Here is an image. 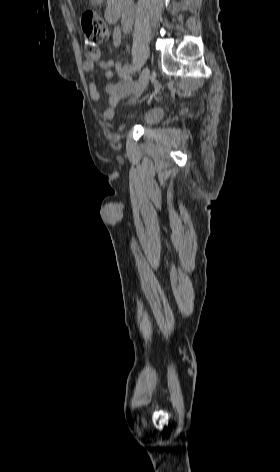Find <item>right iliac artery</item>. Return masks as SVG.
Wrapping results in <instances>:
<instances>
[{
    "label": "right iliac artery",
    "instance_id": "82829eb1",
    "mask_svg": "<svg viewBox=\"0 0 280 472\" xmlns=\"http://www.w3.org/2000/svg\"><path fill=\"white\" fill-rule=\"evenodd\" d=\"M121 41V32L120 29L117 27L115 28L114 35H113V42L115 46H118ZM135 68L132 65H125L123 67V73L127 76L134 74Z\"/></svg>",
    "mask_w": 280,
    "mask_h": 472
}]
</instances>
